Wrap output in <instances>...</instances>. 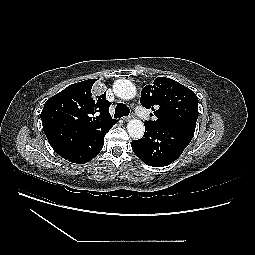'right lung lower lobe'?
I'll list each match as a JSON object with an SVG mask.
<instances>
[{
	"label": "right lung lower lobe",
	"mask_w": 255,
	"mask_h": 255,
	"mask_svg": "<svg viewBox=\"0 0 255 255\" xmlns=\"http://www.w3.org/2000/svg\"><path fill=\"white\" fill-rule=\"evenodd\" d=\"M111 129L95 130L79 140L61 157L77 164H84L99 154L104 145V136Z\"/></svg>",
	"instance_id": "98d812e1"
}]
</instances>
